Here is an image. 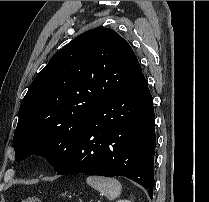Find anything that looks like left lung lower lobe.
Instances as JSON below:
<instances>
[{"mask_svg":"<svg viewBox=\"0 0 209 202\" xmlns=\"http://www.w3.org/2000/svg\"><path fill=\"white\" fill-rule=\"evenodd\" d=\"M155 116L143 74L93 109L83 133L57 174L125 176L153 196Z\"/></svg>","mask_w":209,"mask_h":202,"instance_id":"1","label":"left lung lower lobe"}]
</instances>
